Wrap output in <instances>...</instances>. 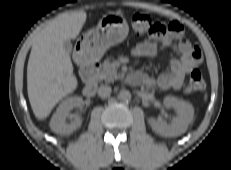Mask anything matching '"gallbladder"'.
Wrapping results in <instances>:
<instances>
[{"mask_svg":"<svg viewBox=\"0 0 231 170\" xmlns=\"http://www.w3.org/2000/svg\"><path fill=\"white\" fill-rule=\"evenodd\" d=\"M64 49L66 50L67 53H71L72 52V44L70 42V40H65L63 43Z\"/></svg>","mask_w":231,"mask_h":170,"instance_id":"obj_1","label":"gallbladder"}]
</instances>
